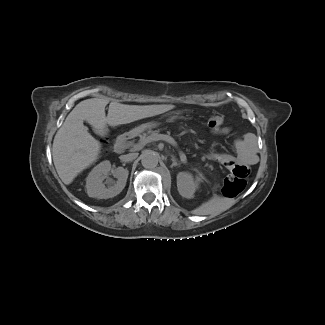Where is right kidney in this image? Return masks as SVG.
I'll return each mask as SVG.
<instances>
[{"mask_svg":"<svg viewBox=\"0 0 325 325\" xmlns=\"http://www.w3.org/2000/svg\"><path fill=\"white\" fill-rule=\"evenodd\" d=\"M110 169L111 163L109 161H103L89 173L86 180V190L89 197L98 199L112 198L124 189L129 174L128 170L123 167L116 168L113 176L117 180H107L105 183L106 186L103 180L107 178Z\"/></svg>","mask_w":325,"mask_h":325,"instance_id":"1","label":"right kidney"}]
</instances>
